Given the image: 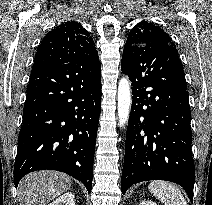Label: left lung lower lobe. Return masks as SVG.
<instances>
[{"mask_svg":"<svg viewBox=\"0 0 212 205\" xmlns=\"http://www.w3.org/2000/svg\"><path fill=\"white\" fill-rule=\"evenodd\" d=\"M132 82L121 190L147 180L181 185L193 202L190 107L177 49L169 44L132 47L121 61Z\"/></svg>","mask_w":212,"mask_h":205,"instance_id":"0a47b994","label":"left lung lower lobe"}]
</instances>
